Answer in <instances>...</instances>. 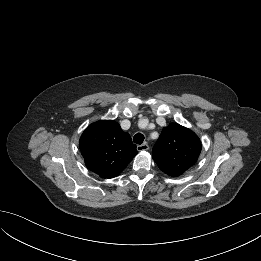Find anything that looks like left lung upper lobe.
I'll return each instance as SVG.
<instances>
[{
	"instance_id": "obj_1",
	"label": "left lung upper lobe",
	"mask_w": 261,
	"mask_h": 261,
	"mask_svg": "<svg viewBox=\"0 0 261 261\" xmlns=\"http://www.w3.org/2000/svg\"><path fill=\"white\" fill-rule=\"evenodd\" d=\"M201 147L200 139L193 131L173 123L163 128L152 149V157L163 172L176 177L195 164Z\"/></svg>"
}]
</instances>
